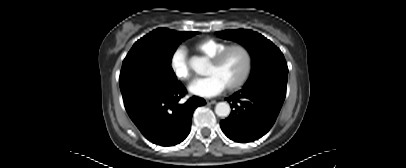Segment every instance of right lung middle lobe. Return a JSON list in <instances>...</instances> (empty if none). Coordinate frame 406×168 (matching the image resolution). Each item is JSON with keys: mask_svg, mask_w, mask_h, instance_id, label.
<instances>
[{"mask_svg": "<svg viewBox=\"0 0 406 168\" xmlns=\"http://www.w3.org/2000/svg\"><path fill=\"white\" fill-rule=\"evenodd\" d=\"M196 33L159 29L133 45L122 63L119 77L127 112L178 83L170 67L172 56L183 39Z\"/></svg>", "mask_w": 406, "mask_h": 168, "instance_id": "obj_1", "label": "right lung middle lobe"}]
</instances>
